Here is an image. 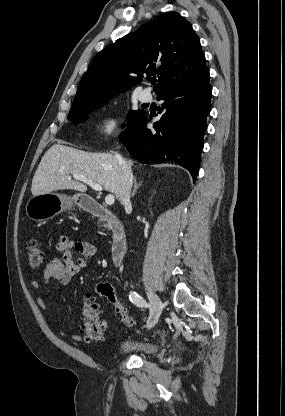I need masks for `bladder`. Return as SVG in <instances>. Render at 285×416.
Returning <instances> with one entry per match:
<instances>
[{
    "label": "bladder",
    "instance_id": "31cf9c89",
    "mask_svg": "<svg viewBox=\"0 0 285 416\" xmlns=\"http://www.w3.org/2000/svg\"><path fill=\"white\" fill-rule=\"evenodd\" d=\"M161 345L145 338L124 339L115 348V354L122 355H147L156 354L160 351Z\"/></svg>",
    "mask_w": 285,
    "mask_h": 416
}]
</instances>
